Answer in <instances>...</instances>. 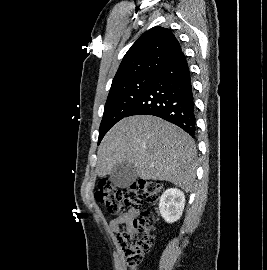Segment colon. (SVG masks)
Masks as SVG:
<instances>
[{"instance_id": "colon-1", "label": "colon", "mask_w": 267, "mask_h": 270, "mask_svg": "<svg viewBox=\"0 0 267 270\" xmlns=\"http://www.w3.org/2000/svg\"><path fill=\"white\" fill-rule=\"evenodd\" d=\"M162 184L155 180H140L129 187L119 188L108 179H100L95 191L96 200L112 215L123 214L126 210H140L143 203L155 205L158 202ZM153 210H142L139 217L122 229L118 243L128 267L135 270L147 254L154 241Z\"/></svg>"}]
</instances>
